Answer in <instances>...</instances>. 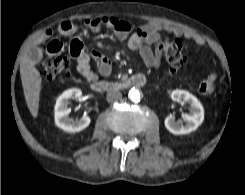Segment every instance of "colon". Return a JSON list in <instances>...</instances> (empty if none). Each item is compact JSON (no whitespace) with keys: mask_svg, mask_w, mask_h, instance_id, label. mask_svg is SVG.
I'll return each instance as SVG.
<instances>
[{"mask_svg":"<svg viewBox=\"0 0 245 195\" xmlns=\"http://www.w3.org/2000/svg\"><path fill=\"white\" fill-rule=\"evenodd\" d=\"M164 53L171 71L184 68L185 56L183 43L179 39H165L159 45ZM42 77L47 81L61 80L70 75V62L66 57L45 58L42 61Z\"/></svg>","mask_w":245,"mask_h":195,"instance_id":"obj_1","label":"colon"}]
</instances>
